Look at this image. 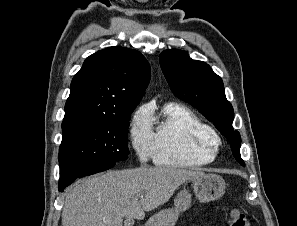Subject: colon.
<instances>
[{
  "label": "colon",
  "mask_w": 297,
  "mask_h": 226,
  "mask_svg": "<svg viewBox=\"0 0 297 226\" xmlns=\"http://www.w3.org/2000/svg\"><path fill=\"white\" fill-rule=\"evenodd\" d=\"M229 226H253V223L244 212L235 208L231 211Z\"/></svg>",
  "instance_id": "1"
}]
</instances>
